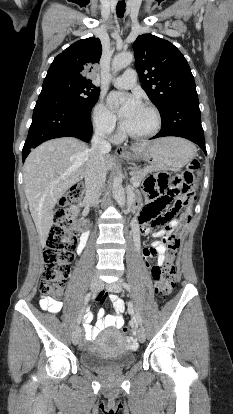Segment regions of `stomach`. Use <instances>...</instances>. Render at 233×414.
Returning a JSON list of instances; mask_svg holds the SVG:
<instances>
[{
	"label": "stomach",
	"mask_w": 233,
	"mask_h": 414,
	"mask_svg": "<svg viewBox=\"0 0 233 414\" xmlns=\"http://www.w3.org/2000/svg\"><path fill=\"white\" fill-rule=\"evenodd\" d=\"M196 155L195 146L181 138H162L151 142L142 154L123 155L127 160L143 159L153 171L169 169L179 170Z\"/></svg>",
	"instance_id": "1"
}]
</instances>
